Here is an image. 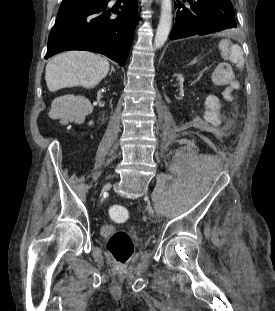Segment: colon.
<instances>
[{
    "mask_svg": "<svg viewBox=\"0 0 275 311\" xmlns=\"http://www.w3.org/2000/svg\"><path fill=\"white\" fill-rule=\"evenodd\" d=\"M235 85H230L224 96L226 99H231L232 90ZM51 116L60 120H67L70 115L61 109L59 106H54L51 109ZM109 214L116 220H126L129 217L128 211L121 206H112L109 209ZM106 248L112 255L118 266H123L126 261L131 257L134 251V243L128 232L124 230H115L109 237Z\"/></svg>",
    "mask_w": 275,
    "mask_h": 311,
    "instance_id": "colon-1",
    "label": "colon"
}]
</instances>
